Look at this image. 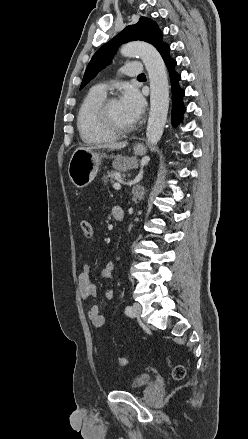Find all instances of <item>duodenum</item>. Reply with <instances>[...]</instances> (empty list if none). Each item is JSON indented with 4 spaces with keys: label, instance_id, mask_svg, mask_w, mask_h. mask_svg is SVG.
Here are the masks:
<instances>
[{
    "label": "duodenum",
    "instance_id": "duodenum-1",
    "mask_svg": "<svg viewBox=\"0 0 248 439\" xmlns=\"http://www.w3.org/2000/svg\"><path fill=\"white\" fill-rule=\"evenodd\" d=\"M112 214H113V217L116 221H122L124 219V215H125L124 209L120 206H115L112 209Z\"/></svg>",
    "mask_w": 248,
    "mask_h": 439
}]
</instances>
